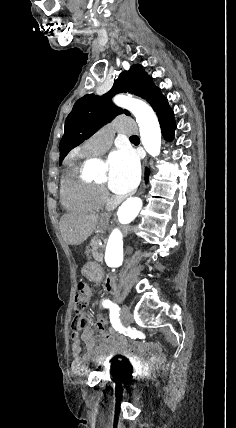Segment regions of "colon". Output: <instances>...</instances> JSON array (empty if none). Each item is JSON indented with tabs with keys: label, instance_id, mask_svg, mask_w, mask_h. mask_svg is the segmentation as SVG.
<instances>
[{
	"label": "colon",
	"instance_id": "5ec220e1",
	"mask_svg": "<svg viewBox=\"0 0 236 428\" xmlns=\"http://www.w3.org/2000/svg\"><path fill=\"white\" fill-rule=\"evenodd\" d=\"M90 293H91V290L89 285L85 282H80L78 285V292L76 294L75 304H74V310L77 314V317L73 321V325H72L73 333H76V334L80 333V331L84 326V320L80 315L87 307ZM105 323L106 321L104 317L100 315L96 317V325L98 327H104Z\"/></svg>",
	"mask_w": 236,
	"mask_h": 428
}]
</instances>
